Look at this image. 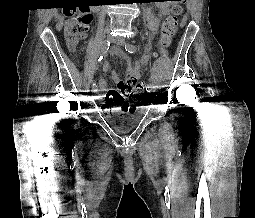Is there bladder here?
<instances>
[{
    "label": "bladder",
    "mask_w": 255,
    "mask_h": 218,
    "mask_svg": "<svg viewBox=\"0 0 255 218\" xmlns=\"http://www.w3.org/2000/svg\"><path fill=\"white\" fill-rule=\"evenodd\" d=\"M108 119L114 124V128L117 132H128L138 122L137 114L130 112L128 114H111L108 115Z\"/></svg>",
    "instance_id": "obj_1"
}]
</instances>
